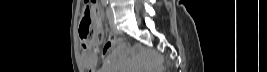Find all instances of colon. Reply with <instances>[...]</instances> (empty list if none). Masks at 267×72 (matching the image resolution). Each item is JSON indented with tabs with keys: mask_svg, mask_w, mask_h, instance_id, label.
I'll return each mask as SVG.
<instances>
[{
	"mask_svg": "<svg viewBox=\"0 0 267 72\" xmlns=\"http://www.w3.org/2000/svg\"><path fill=\"white\" fill-rule=\"evenodd\" d=\"M99 17L100 14L96 8V1H86L79 23V37L85 48H96L102 40L100 25L95 26Z\"/></svg>",
	"mask_w": 267,
	"mask_h": 72,
	"instance_id": "1",
	"label": "colon"
}]
</instances>
